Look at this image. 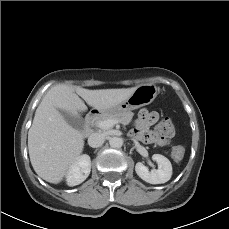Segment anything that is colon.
<instances>
[{
    "label": "colon",
    "instance_id": "1",
    "mask_svg": "<svg viewBox=\"0 0 229 229\" xmlns=\"http://www.w3.org/2000/svg\"><path fill=\"white\" fill-rule=\"evenodd\" d=\"M175 132L174 125L169 118H164L159 124L156 126L153 138L159 143L163 145H167L170 143L171 138L173 137ZM184 155V151L181 148L174 149L172 156L175 160H181Z\"/></svg>",
    "mask_w": 229,
    "mask_h": 229
}]
</instances>
